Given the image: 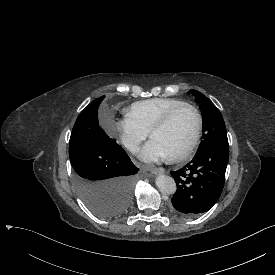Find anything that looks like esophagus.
I'll return each instance as SVG.
<instances>
[{
    "instance_id": "esophagus-1",
    "label": "esophagus",
    "mask_w": 275,
    "mask_h": 275,
    "mask_svg": "<svg viewBox=\"0 0 275 275\" xmlns=\"http://www.w3.org/2000/svg\"><path fill=\"white\" fill-rule=\"evenodd\" d=\"M166 172V170L163 167H158L155 168L154 170H152V174L154 175H159V174H164Z\"/></svg>"
}]
</instances>
